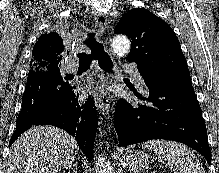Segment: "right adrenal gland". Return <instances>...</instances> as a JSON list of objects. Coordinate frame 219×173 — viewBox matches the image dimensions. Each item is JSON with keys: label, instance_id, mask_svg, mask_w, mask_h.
I'll return each mask as SVG.
<instances>
[{"label": "right adrenal gland", "instance_id": "right-adrenal-gland-1", "mask_svg": "<svg viewBox=\"0 0 219 173\" xmlns=\"http://www.w3.org/2000/svg\"><path fill=\"white\" fill-rule=\"evenodd\" d=\"M66 170H68V171L72 170L73 173H76L73 162H71V163L66 167Z\"/></svg>", "mask_w": 219, "mask_h": 173}]
</instances>
